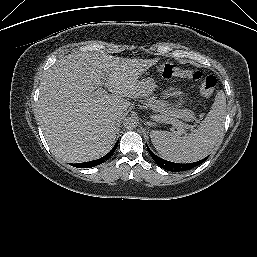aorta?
I'll return each mask as SVG.
<instances>
[{"label": "aorta", "mask_w": 257, "mask_h": 257, "mask_svg": "<svg viewBox=\"0 0 257 257\" xmlns=\"http://www.w3.org/2000/svg\"><path fill=\"white\" fill-rule=\"evenodd\" d=\"M124 128L132 130L137 126V119L134 117H126L123 121Z\"/></svg>", "instance_id": "obj_1"}]
</instances>
